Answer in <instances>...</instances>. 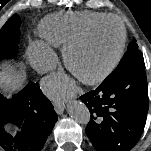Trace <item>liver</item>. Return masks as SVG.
I'll return each instance as SVG.
<instances>
[{
	"label": "liver",
	"instance_id": "1",
	"mask_svg": "<svg viewBox=\"0 0 151 151\" xmlns=\"http://www.w3.org/2000/svg\"><path fill=\"white\" fill-rule=\"evenodd\" d=\"M25 77V73L4 68L0 71V89L9 92L18 91L22 88Z\"/></svg>",
	"mask_w": 151,
	"mask_h": 151
}]
</instances>
